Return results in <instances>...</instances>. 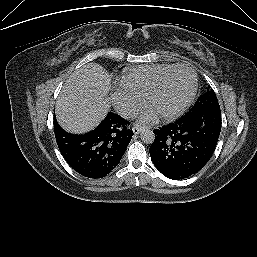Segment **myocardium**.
<instances>
[{"instance_id":"1","label":"myocardium","mask_w":257,"mask_h":257,"mask_svg":"<svg viewBox=\"0 0 257 257\" xmlns=\"http://www.w3.org/2000/svg\"><path fill=\"white\" fill-rule=\"evenodd\" d=\"M179 69H186L188 70L191 75H192V85L190 88V91L188 93V95L186 96V98L184 99V101L174 110L167 112V113H163V114H159V116L162 119L165 120H169L172 119L178 115H180L182 112H184L189 105L191 104V102L194 99V96L196 94L197 91V87H198V78H197V73L196 71L186 65V64H179V65H174L171 68H169L168 70H166L164 73H162L153 83V85L151 86V88L149 89L146 97H145V103L146 106H150V102L153 98V96L157 93V91L159 90V88L161 87L162 83L164 82V80L174 71L179 70Z\"/></svg>"}]
</instances>
